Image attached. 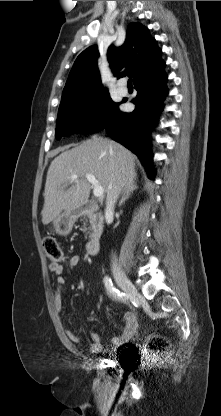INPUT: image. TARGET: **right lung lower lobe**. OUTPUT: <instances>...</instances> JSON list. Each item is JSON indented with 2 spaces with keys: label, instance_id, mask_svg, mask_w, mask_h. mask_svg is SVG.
<instances>
[{
  "label": "right lung lower lobe",
  "instance_id": "1",
  "mask_svg": "<svg viewBox=\"0 0 221 416\" xmlns=\"http://www.w3.org/2000/svg\"><path fill=\"white\" fill-rule=\"evenodd\" d=\"M166 80L164 68L137 80L134 85L138 94L132 100L135 110L123 113L117 108L104 127L113 140L139 157L150 178L154 177V170L149 133L163 109V100L168 92Z\"/></svg>",
  "mask_w": 221,
  "mask_h": 416
}]
</instances>
